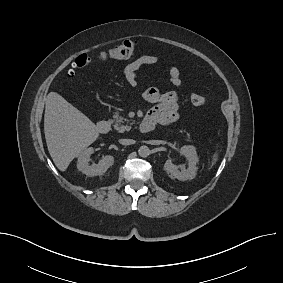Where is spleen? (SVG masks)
Masks as SVG:
<instances>
[{
    "instance_id": "3e777b00",
    "label": "spleen",
    "mask_w": 283,
    "mask_h": 283,
    "mask_svg": "<svg viewBox=\"0 0 283 283\" xmlns=\"http://www.w3.org/2000/svg\"><path fill=\"white\" fill-rule=\"evenodd\" d=\"M218 160V152L216 151L213 155H212V160L210 162V167H213L216 162Z\"/></svg>"
}]
</instances>
